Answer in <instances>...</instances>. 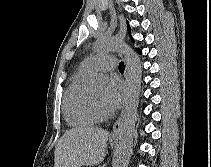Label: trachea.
<instances>
[{
	"mask_svg": "<svg viewBox=\"0 0 211 167\" xmlns=\"http://www.w3.org/2000/svg\"><path fill=\"white\" fill-rule=\"evenodd\" d=\"M124 69H125L124 63L123 62H120L119 63V70H123L124 71Z\"/></svg>",
	"mask_w": 211,
	"mask_h": 167,
	"instance_id": "obj_1",
	"label": "trachea"
}]
</instances>
